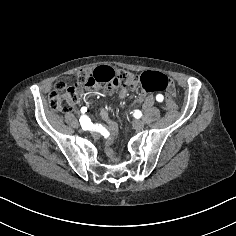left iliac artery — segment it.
Masks as SVG:
<instances>
[{"mask_svg": "<svg viewBox=\"0 0 236 236\" xmlns=\"http://www.w3.org/2000/svg\"><path fill=\"white\" fill-rule=\"evenodd\" d=\"M156 100H157L158 102H162V101H163V95L158 94V95L156 96Z\"/></svg>", "mask_w": 236, "mask_h": 236, "instance_id": "44dca946", "label": "left iliac artery"}]
</instances>
